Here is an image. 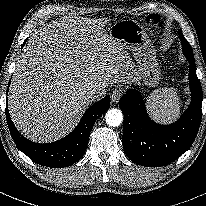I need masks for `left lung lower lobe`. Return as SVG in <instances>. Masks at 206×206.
<instances>
[{"mask_svg": "<svg viewBox=\"0 0 206 206\" xmlns=\"http://www.w3.org/2000/svg\"><path fill=\"white\" fill-rule=\"evenodd\" d=\"M179 36L184 39L181 31ZM183 52L190 64L192 100L178 121L170 125H160L152 121L137 90L129 89L119 101L124 114V152L139 165L158 167L171 163L191 147L197 135L202 116V89L196 75L193 52L186 48H183Z\"/></svg>", "mask_w": 206, "mask_h": 206, "instance_id": "0a47b994", "label": "left lung lower lobe"}]
</instances>
